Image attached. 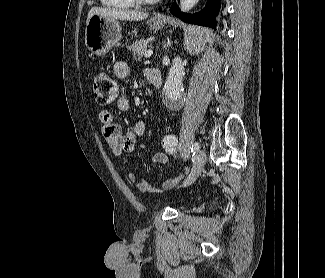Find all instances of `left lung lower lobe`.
Masks as SVG:
<instances>
[{
  "instance_id": "left-lung-lower-lobe-1",
  "label": "left lung lower lobe",
  "mask_w": 325,
  "mask_h": 278,
  "mask_svg": "<svg viewBox=\"0 0 325 278\" xmlns=\"http://www.w3.org/2000/svg\"><path fill=\"white\" fill-rule=\"evenodd\" d=\"M220 9V0H208L206 7L194 15L182 13L177 4L174 2L170 8V12L182 19L184 22L199 24L203 26L215 27L214 16Z\"/></svg>"
}]
</instances>
